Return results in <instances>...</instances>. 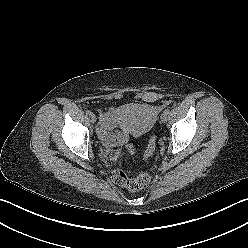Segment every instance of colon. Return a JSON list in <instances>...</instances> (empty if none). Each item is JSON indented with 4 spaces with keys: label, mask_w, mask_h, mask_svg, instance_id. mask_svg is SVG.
<instances>
[{
    "label": "colon",
    "mask_w": 248,
    "mask_h": 248,
    "mask_svg": "<svg viewBox=\"0 0 248 248\" xmlns=\"http://www.w3.org/2000/svg\"><path fill=\"white\" fill-rule=\"evenodd\" d=\"M155 147V139H151L148 146V153H151ZM112 179L115 184L128 188L131 191L143 189L149 183V176L143 171L130 172L125 170H116Z\"/></svg>",
    "instance_id": "colon-1"
}]
</instances>
